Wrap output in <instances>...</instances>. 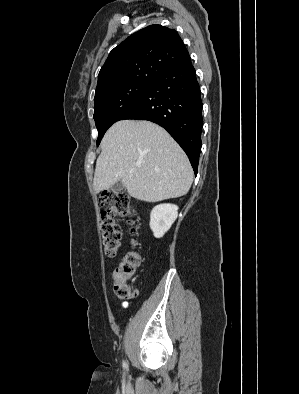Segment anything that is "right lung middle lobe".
<instances>
[{"label":"right lung middle lobe","instance_id":"dd1d6c3e","mask_svg":"<svg viewBox=\"0 0 299 394\" xmlns=\"http://www.w3.org/2000/svg\"><path fill=\"white\" fill-rule=\"evenodd\" d=\"M151 83L131 82L95 96L94 120L98 130L97 145L107 129L138 100Z\"/></svg>","mask_w":299,"mask_h":394}]
</instances>
